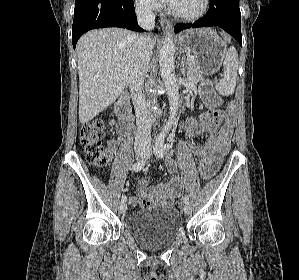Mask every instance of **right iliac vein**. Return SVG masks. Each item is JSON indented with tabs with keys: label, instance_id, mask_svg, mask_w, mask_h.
I'll return each instance as SVG.
<instances>
[{
	"label": "right iliac vein",
	"instance_id": "63e3f726",
	"mask_svg": "<svg viewBox=\"0 0 299 280\" xmlns=\"http://www.w3.org/2000/svg\"><path fill=\"white\" fill-rule=\"evenodd\" d=\"M136 154H137L138 156H143V154H144V150H143V149H138V150L136 151ZM126 210H127V205H126V203H125V202H121V203L119 204V211H120V213H121V214H124V213L126 212Z\"/></svg>",
	"mask_w": 299,
	"mask_h": 280
}]
</instances>
